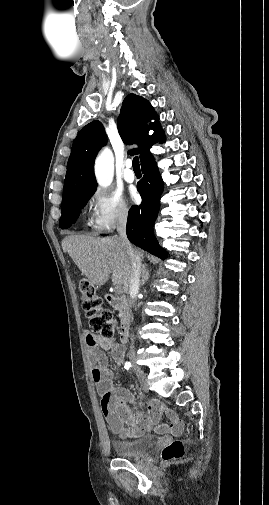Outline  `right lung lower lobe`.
<instances>
[{"label":"right lung lower lobe","instance_id":"obj_1","mask_svg":"<svg viewBox=\"0 0 269 505\" xmlns=\"http://www.w3.org/2000/svg\"><path fill=\"white\" fill-rule=\"evenodd\" d=\"M141 166L144 176L141 183L138 184V191L143 200L139 206H132L129 210L127 236L133 244L161 259H165L167 252L160 247L153 230H151L158 216L163 181L152 155Z\"/></svg>","mask_w":269,"mask_h":505}]
</instances>
